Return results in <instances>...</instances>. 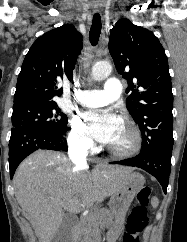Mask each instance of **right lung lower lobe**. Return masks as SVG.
Returning a JSON list of instances; mask_svg holds the SVG:
<instances>
[{
	"label": "right lung lower lobe",
	"mask_w": 187,
	"mask_h": 242,
	"mask_svg": "<svg viewBox=\"0 0 187 242\" xmlns=\"http://www.w3.org/2000/svg\"><path fill=\"white\" fill-rule=\"evenodd\" d=\"M38 149L68 150L66 139L62 134L32 130L11 132L9 141V168L11 179L19 163Z\"/></svg>",
	"instance_id": "obj_1"
}]
</instances>
